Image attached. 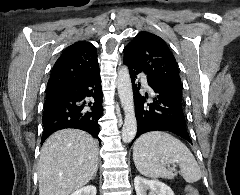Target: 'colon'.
Listing matches in <instances>:
<instances>
[{"label":"colon","mask_w":240,"mask_h":195,"mask_svg":"<svg viewBox=\"0 0 240 195\" xmlns=\"http://www.w3.org/2000/svg\"><path fill=\"white\" fill-rule=\"evenodd\" d=\"M186 192H190L193 195H198V192L194 189H191V185H186Z\"/></svg>","instance_id":"colon-1"}]
</instances>
